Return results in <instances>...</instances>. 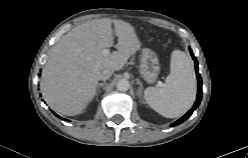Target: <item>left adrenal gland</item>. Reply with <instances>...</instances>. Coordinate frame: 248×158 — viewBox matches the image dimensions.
I'll list each match as a JSON object with an SVG mask.
<instances>
[{
	"label": "left adrenal gland",
	"instance_id": "a2214340",
	"mask_svg": "<svg viewBox=\"0 0 248 158\" xmlns=\"http://www.w3.org/2000/svg\"><path fill=\"white\" fill-rule=\"evenodd\" d=\"M137 84L139 85V89L137 91V94L141 97L142 95V90H143V85L140 80L137 79Z\"/></svg>",
	"mask_w": 248,
	"mask_h": 158
}]
</instances>
